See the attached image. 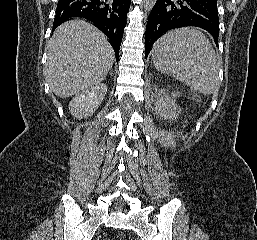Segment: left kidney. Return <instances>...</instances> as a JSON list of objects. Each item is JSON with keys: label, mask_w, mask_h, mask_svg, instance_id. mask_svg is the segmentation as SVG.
<instances>
[{"label": "left kidney", "mask_w": 257, "mask_h": 240, "mask_svg": "<svg viewBox=\"0 0 257 240\" xmlns=\"http://www.w3.org/2000/svg\"><path fill=\"white\" fill-rule=\"evenodd\" d=\"M156 112L165 120L174 119L178 115V108L175 100L166 94H162L156 103Z\"/></svg>", "instance_id": "obj_1"}]
</instances>
